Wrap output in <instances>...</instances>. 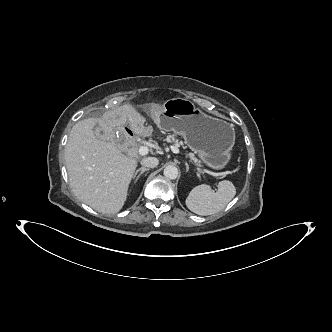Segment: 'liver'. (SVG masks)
<instances>
[{
	"label": "liver",
	"instance_id": "obj_1",
	"mask_svg": "<svg viewBox=\"0 0 332 332\" xmlns=\"http://www.w3.org/2000/svg\"><path fill=\"white\" fill-rule=\"evenodd\" d=\"M153 109L159 107L153 106ZM126 108L106 112L101 118L77 122L71 129L65 162L70 186L75 196L94 210L104 214L119 212L128 195V188L137 167V160L122 154L108 141L113 129L123 124ZM99 125L108 132L107 140H99L93 127Z\"/></svg>",
	"mask_w": 332,
	"mask_h": 332
}]
</instances>
